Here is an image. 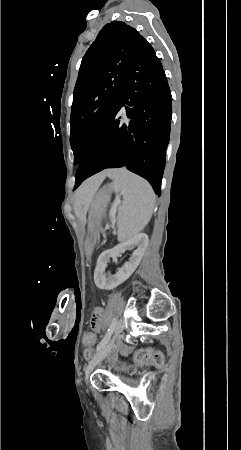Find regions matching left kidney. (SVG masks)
Masks as SVG:
<instances>
[{"label":"left kidney","instance_id":"5707ae66","mask_svg":"<svg viewBox=\"0 0 241 450\" xmlns=\"http://www.w3.org/2000/svg\"><path fill=\"white\" fill-rule=\"evenodd\" d=\"M148 242L147 234H136V236H133V238H130L127 242L115 246L113 250L102 252L97 260V266L94 272V282L97 288H100V290H113V288H117L119 284H123L125 280H128L133 272H135L136 268H138L148 246ZM135 246L137 250H134L131 258H129V262H126L122 268H118V272H116L115 276L106 278L104 270L107 268L110 258L116 260V258H119L121 254H124L126 250H133Z\"/></svg>","mask_w":241,"mask_h":450}]
</instances>
